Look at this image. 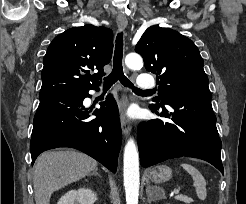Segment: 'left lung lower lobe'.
<instances>
[{"label": "left lung lower lobe", "instance_id": "obj_1", "mask_svg": "<svg viewBox=\"0 0 246 204\" xmlns=\"http://www.w3.org/2000/svg\"><path fill=\"white\" fill-rule=\"evenodd\" d=\"M161 108L160 116L168 118L167 121L153 119L139 125L140 164L149 167L186 156L205 160L223 174L222 143L211 99L171 97L163 101ZM150 109L158 114L157 108Z\"/></svg>", "mask_w": 246, "mask_h": 204}]
</instances>
